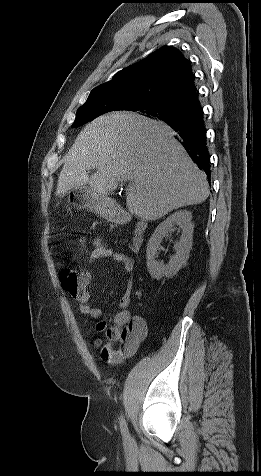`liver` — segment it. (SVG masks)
Masks as SVG:
<instances>
[{
  "mask_svg": "<svg viewBox=\"0 0 261 476\" xmlns=\"http://www.w3.org/2000/svg\"><path fill=\"white\" fill-rule=\"evenodd\" d=\"M163 122L130 112L102 115L77 136L64 158L58 196L89 185L107 196L120 178L132 181L126 206L141 219L157 220L168 212L204 202L206 174L199 170ZM97 172L89 176V170Z\"/></svg>",
  "mask_w": 261,
  "mask_h": 476,
  "instance_id": "liver-1",
  "label": "liver"
}]
</instances>
